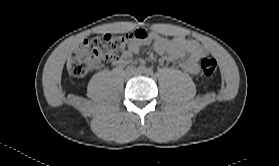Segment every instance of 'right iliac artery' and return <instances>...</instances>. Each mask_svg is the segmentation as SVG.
<instances>
[{"instance_id":"1","label":"right iliac artery","mask_w":279,"mask_h":166,"mask_svg":"<svg viewBox=\"0 0 279 166\" xmlns=\"http://www.w3.org/2000/svg\"><path fill=\"white\" fill-rule=\"evenodd\" d=\"M138 70L141 71V72H144L146 70V67L144 65H140L138 67Z\"/></svg>"}]
</instances>
